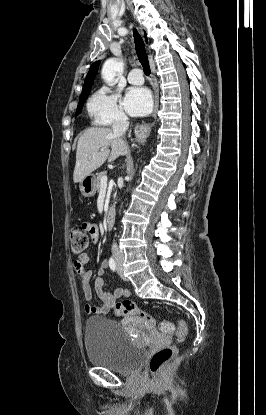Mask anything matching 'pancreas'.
I'll return each mask as SVG.
<instances>
[{"label":"pancreas","instance_id":"cf45deb5","mask_svg":"<svg viewBox=\"0 0 266 415\" xmlns=\"http://www.w3.org/2000/svg\"><path fill=\"white\" fill-rule=\"evenodd\" d=\"M105 175H106L105 171L98 174L97 179H96V185H95V188H96L97 191L100 190V188H101V178Z\"/></svg>","mask_w":266,"mask_h":415}]
</instances>
